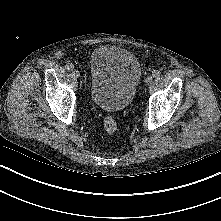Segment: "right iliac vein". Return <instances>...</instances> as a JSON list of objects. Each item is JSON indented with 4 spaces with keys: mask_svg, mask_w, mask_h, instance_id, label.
<instances>
[{
    "mask_svg": "<svg viewBox=\"0 0 221 221\" xmlns=\"http://www.w3.org/2000/svg\"><path fill=\"white\" fill-rule=\"evenodd\" d=\"M72 74H73V76L76 77V78H79V77H80V72H79L78 70H76V69L72 71Z\"/></svg>",
    "mask_w": 221,
    "mask_h": 221,
    "instance_id": "obj_1",
    "label": "right iliac vein"
}]
</instances>
